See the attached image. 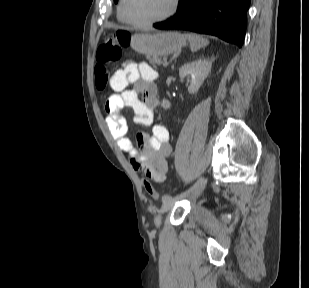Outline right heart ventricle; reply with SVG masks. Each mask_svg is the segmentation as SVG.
<instances>
[{
	"mask_svg": "<svg viewBox=\"0 0 309 288\" xmlns=\"http://www.w3.org/2000/svg\"><path fill=\"white\" fill-rule=\"evenodd\" d=\"M117 18H118V20H119L120 22L125 23V21L123 20V18H122V16H121V13H120V2H119V4H118V6H117Z\"/></svg>",
	"mask_w": 309,
	"mask_h": 288,
	"instance_id": "e07e8e85",
	"label": "right heart ventricle"
}]
</instances>
